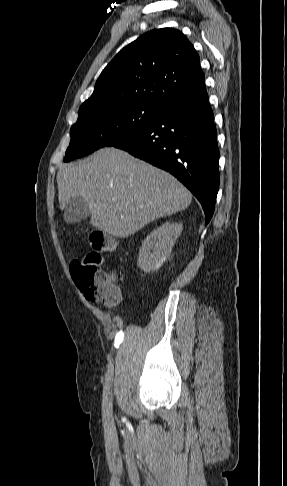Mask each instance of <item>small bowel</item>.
<instances>
[{
	"label": "small bowel",
	"mask_w": 287,
	"mask_h": 486,
	"mask_svg": "<svg viewBox=\"0 0 287 486\" xmlns=\"http://www.w3.org/2000/svg\"><path fill=\"white\" fill-rule=\"evenodd\" d=\"M111 275H112V277H113L114 281H116V279H117V278H116V275H115V274H111Z\"/></svg>",
	"instance_id": "1"
}]
</instances>
